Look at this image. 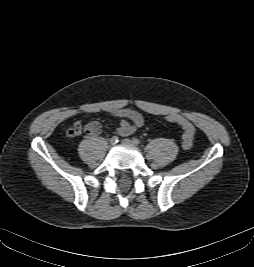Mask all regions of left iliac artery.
I'll list each match as a JSON object with an SVG mask.
<instances>
[{
	"label": "left iliac artery",
	"instance_id": "left-iliac-artery-1",
	"mask_svg": "<svg viewBox=\"0 0 254 267\" xmlns=\"http://www.w3.org/2000/svg\"><path fill=\"white\" fill-rule=\"evenodd\" d=\"M133 143L135 144V145H139L140 144V141L137 139V138H133Z\"/></svg>",
	"mask_w": 254,
	"mask_h": 267
}]
</instances>
